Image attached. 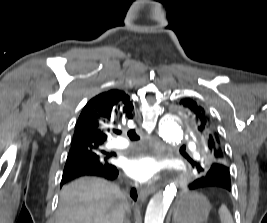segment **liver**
I'll return each mask as SVG.
<instances>
[{"mask_svg":"<svg viewBox=\"0 0 267 223\" xmlns=\"http://www.w3.org/2000/svg\"><path fill=\"white\" fill-rule=\"evenodd\" d=\"M129 209L118 186L85 177L62 188L55 223H123Z\"/></svg>","mask_w":267,"mask_h":223,"instance_id":"obj_1","label":"liver"}]
</instances>
